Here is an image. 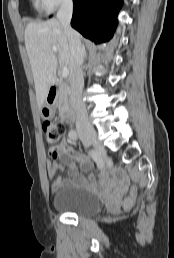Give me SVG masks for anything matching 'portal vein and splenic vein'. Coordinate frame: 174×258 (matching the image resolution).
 Segmentation results:
<instances>
[{"label":"portal vein and splenic vein","instance_id":"18ae733b","mask_svg":"<svg viewBox=\"0 0 174 258\" xmlns=\"http://www.w3.org/2000/svg\"><path fill=\"white\" fill-rule=\"evenodd\" d=\"M52 50H53L54 52H57V51H58L55 46H52ZM68 73H69L68 68H67V67H63V68H62V77H67V76H68Z\"/></svg>","mask_w":174,"mask_h":258}]
</instances>
